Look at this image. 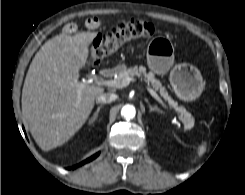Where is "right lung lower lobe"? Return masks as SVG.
Wrapping results in <instances>:
<instances>
[{
  "mask_svg": "<svg viewBox=\"0 0 245 195\" xmlns=\"http://www.w3.org/2000/svg\"><path fill=\"white\" fill-rule=\"evenodd\" d=\"M98 155H99V153H96V154H94L93 156H91L90 158H88V159L84 160L83 162H81L80 164L73 166L72 168H73V169H76L77 167L82 166L83 164L92 161V160L95 159ZM69 169H70V168H69Z\"/></svg>",
  "mask_w": 245,
  "mask_h": 195,
  "instance_id": "98d812e1",
  "label": "right lung lower lobe"
}]
</instances>
